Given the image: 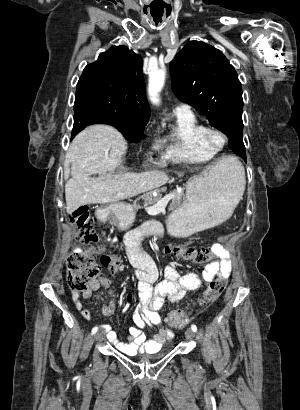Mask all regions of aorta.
<instances>
[{
  "label": "aorta",
  "instance_id": "aorta-1",
  "mask_svg": "<svg viewBox=\"0 0 300 410\" xmlns=\"http://www.w3.org/2000/svg\"><path fill=\"white\" fill-rule=\"evenodd\" d=\"M166 78L165 68H160L149 73L148 94L153 104L159 103V93Z\"/></svg>",
  "mask_w": 300,
  "mask_h": 410
}]
</instances>
